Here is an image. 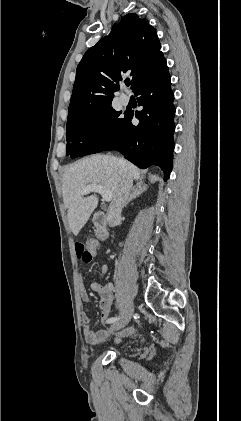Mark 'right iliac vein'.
I'll return each instance as SVG.
<instances>
[{
  "mask_svg": "<svg viewBox=\"0 0 241 421\" xmlns=\"http://www.w3.org/2000/svg\"><path fill=\"white\" fill-rule=\"evenodd\" d=\"M133 311H134V306H133V303L130 302L126 307L125 313L122 316V318L120 320L114 322L110 326L109 331L112 332V331L119 330V329L125 327L130 322V320L132 318V315H133Z\"/></svg>",
  "mask_w": 241,
  "mask_h": 421,
  "instance_id": "obj_1",
  "label": "right iliac vein"
}]
</instances>
